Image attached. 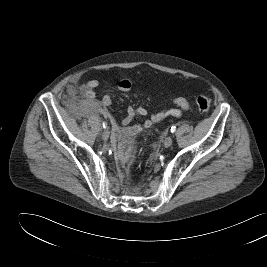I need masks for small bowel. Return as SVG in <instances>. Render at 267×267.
<instances>
[{"label":"small bowel","instance_id":"obj_1","mask_svg":"<svg viewBox=\"0 0 267 267\" xmlns=\"http://www.w3.org/2000/svg\"><path fill=\"white\" fill-rule=\"evenodd\" d=\"M77 81L78 78H75L74 83H76ZM97 86V80H90L87 82L85 86V98L88 102H93L95 98V89L97 88ZM119 89L124 92L129 91L131 89V82L128 79L121 80L119 82ZM67 92L69 94H75V86L69 85L67 88ZM172 102L177 108H163L160 111L152 113L142 123L135 125L129 124L136 116H147L148 111L143 107H139L136 109L128 107L126 111V116L121 120V127L118 126L112 115V100L109 92H106L103 95L98 105L93 104L92 109L99 111L104 117L110 119L115 134L118 137L124 139L136 135L144 129L150 128L153 124L159 123L169 116L180 117L184 111H188L190 109V103L184 97H175L172 99Z\"/></svg>","mask_w":267,"mask_h":267}]
</instances>
